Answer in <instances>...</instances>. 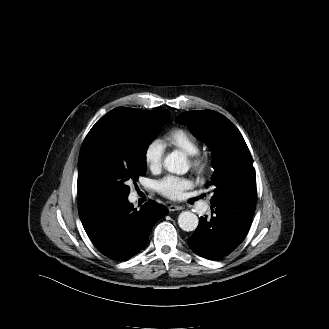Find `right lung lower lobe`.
I'll return each instance as SVG.
<instances>
[{
	"mask_svg": "<svg viewBox=\"0 0 329 329\" xmlns=\"http://www.w3.org/2000/svg\"><path fill=\"white\" fill-rule=\"evenodd\" d=\"M167 212L165 206L155 201L145 203L137 211L127 197L106 195L81 205L79 216L102 254L126 260L145 248L153 225Z\"/></svg>",
	"mask_w": 329,
	"mask_h": 329,
	"instance_id": "1",
	"label": "right lung lower lobe"
}]
</instances>
